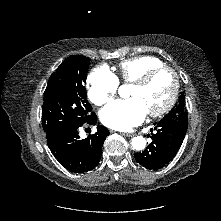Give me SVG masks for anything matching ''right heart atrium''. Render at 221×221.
<instances>
[{"label": "right heart atrium", "instance_id": "obj_1", "mask_svg": "<svg viewBox=\"0 0 221 221\" xmlns=\"http://www.w3.org/2000/svg\"><path fill=\"white\" fill-rule=\"evenodd\" d=\"M118 86L117 77L107 67L97 66L87 78L88 98L97 106L104 105L116 95Z\"/></svg>", "mask_w": 221, "mask_h": 221}]
</instances>
